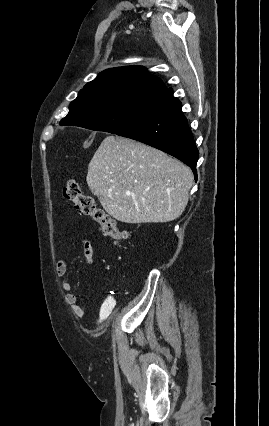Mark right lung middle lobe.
<instances>
[{
  "mask_svg": "<svg viewBox=\"0 0 269 426\" xmlns=\"http://www.w3.org/2000/svg\"><path fill=\"white\" fill-rule=\"evenodd\" d=\"M163 93L147 91L78 94L61 126H80L109 133L121 132L145 117Z\"/></svg>",
  "mask_w": 269,
  "mask_h": 426,
  "instance_id": "obj_1",
  "label": "right lung middle lobe"
}]
</instances>
